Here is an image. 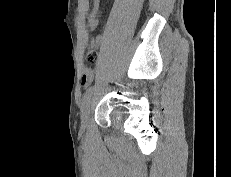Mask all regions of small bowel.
<instances>
[{"label":"small bowel","instance_id":"obj_1","mask_svg":"<svg viewBox=\"0 0 231 177\" xmlns=\"http://www.w3.org/2000/svg\"><path fill=\"white\" fill-rule=\"evenodd\" d=\"M99 6H100V0H93V9L91 11L89 20H88V27L91 31H95V29L98 26V13H99ZM103 43V38L100 35H97L94 37V44L98 47H100ZM94 77V72L92 70H84L83 76H82V83L84 85H88Z\"/></svg>","mask_w":231,"mask_h":177}]
</instances>
